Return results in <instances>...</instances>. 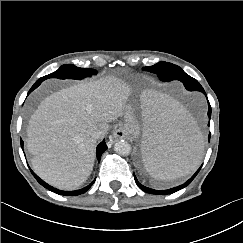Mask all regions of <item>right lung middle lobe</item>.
I'll list each match as a JSON object with an SVG mask.
<instances>
[{"instance_id":"right-lung-middle-lobe-1","label":"right lung middle lobe","mask_w":243,"mask_h":243,"mask_svg":"<svg viewBox=\"0 0 243 243\" xmlns=\"http://www.w3.org/2000/svg\"><path fill=\"white\" fill-rule=\"evenodd\" d=\"M96 71L88 68H79L72 64L62 65L57 71L46 75L39 80L44 81L48 78H59V79H78L81 80L87 76L95 75Z\"/></svg>"}]
</instances>
